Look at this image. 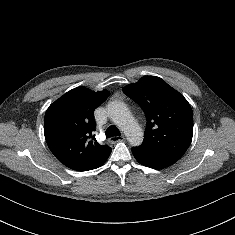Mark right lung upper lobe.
I'll return each instance as SVG.
<instances>
[{"mask_svg": "<svg viewBox=\"0 0 235 235\" xmlns=\"http://www.w3.org/2000/svg\"><path fill=\"white\" fill-rule=\"evenodd\" d=\"M108 96L107 90L94 92L77 87L47 109L44 119L46 142L65 166L78 171L92 170L109 157L111 148L100 145L93 135V112Z\"/></svg>", "mask_w": 235, "mask_h": 235, "instance_id": "cb5924a9", "label": "right lung upper lobe"}]
</instances>
